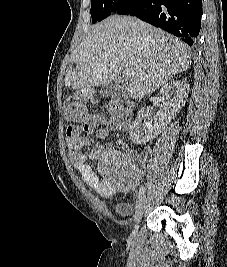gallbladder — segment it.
Masks as SVG:
<instances>
[{"label": "gallbladder", "instance_id": "bac80fb5", "mask_svg": "<svg viewBox=\"0 0 227 267\" xmlns=\"http://www.w3.org/2000/svg\"><path fill=\"white\" fill-rule=\"evenodd\" d=\"M120 81L115 80L112 83L103 86L101 90L99 91V94L102 95L103 97L110 96L113 93H115L116 90L120 88Z\"/></svg>", "mask_w": 227, "mask_h": 267}]
</instances>
